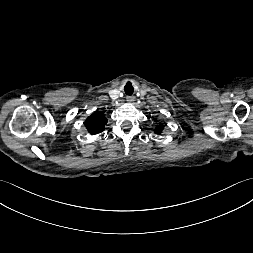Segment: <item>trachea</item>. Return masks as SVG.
Instances as JSON below:
<instances>
[{
  "mask_svg": "<svg viewBox=\"0 0 253 253\" xmlns=\"http://www.w3.org/2000/svg\"><path fill=\"white\" fill-rule=\"evenodd\" d=\"M124 91L126 93V95L131 96L133 94V86L131 84V82H127L125 87H124Z\"/></svg>",
  "mask_w": 253,
  "mask_h": 253,
  "instance_id": "1",
  "label": "trachea"
}]
</instances>
